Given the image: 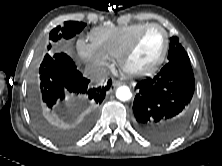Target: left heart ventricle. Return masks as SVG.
<instances>
[{"mask_svg": "<svg viewBox=\"0 0 222 166\" xmlns=\"http://www.w3.org/2000/svg\"><path fill=\"white\" fill-rule=\"evenodd\" d=\"M164 46V35L160 29H149L130 55L127 65L132 70L151 67L159 58Z\"/></svg>", "mask_w": 222, "mask_h": 166, "instance_id": "obj_1", "label": "left heart ventricle"}]
</instances>
